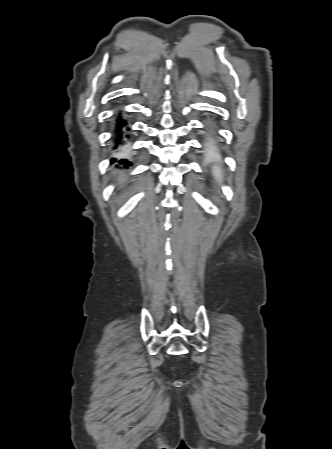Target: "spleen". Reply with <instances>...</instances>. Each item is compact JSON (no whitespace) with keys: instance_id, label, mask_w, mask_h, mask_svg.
I'll use <instances>...</instances> for the list:
<instances>
[{"instance_id":"obj_1","label":"spleen","mask_w":332,"mask_h":449,"mask_svg":"<svg viewBox=\"0 0 332 449\" xmlns=\"http://www.w3.org/2000/svg\"><path fill=\"white\" fill-rule=\"evenodd\" d=\"M212 172H213V176L215 177V179L218 182H222L223 181V173H222L221 167L214 166Z\"/></svg>"}]
</instances>
